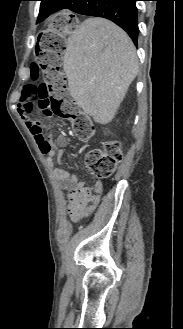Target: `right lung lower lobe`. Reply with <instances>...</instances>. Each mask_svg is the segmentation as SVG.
I'll use <instances>...</instances> for the list:
<instances>
[{
  "mask_svg": "<svg viewBox=\"0 0 183 329\" xmlns=\"http://www.w3.org/2000/svg\"><path fill=\"white\" fill-rule=\"evenodd\" d=\"M137 0H68L67 9L109 19L125 30L135 45L139 34Z\"/></svg>",
  "mask_w": 183,
  "mask_h": 329,
  "instance_id": "1",
  "label": "right lung lower lobe"
}]
</instances>
